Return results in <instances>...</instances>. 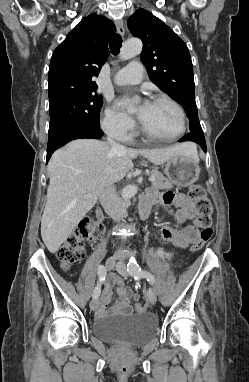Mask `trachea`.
I'll list each match as a JSON object with an SVG mask.
<instances>
[{"instance_id":"obj_1","label":"trachea","mask_w":249,"mask_h":382,"mask_svg":"<svg viewBox=\"0 0 249 382\" xmlns=\"http://www.w3.org/2000/svg\"><path fill=\"white\" fill-rule=\"evenodd\" d=\"M122 46V37L119 34H115L110 40L109 47L113 55H117Z\"/></svg>"}]
</instances>
